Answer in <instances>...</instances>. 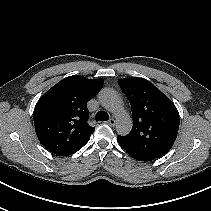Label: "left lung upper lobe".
Wrapping results in <instances>:
<instances>
[{"mask_svg": "<svg viewBox=\"0 0 211 211\" xmlns=\"http://www.w3.org/2000/svg\"><path fill=\"white\" fill-rule=\"evenodd\" d=\"M128 98L133 127L126 136H119L121 147L128 154L155 159L173 146L179 129V113L175 105L151 82L142 78L118 80Z\"/></svg>", "mask_w": 211, "mask_h": 211, "instance_id": "left-lung-upper-lobe-1", "label": "left lung upper lobe"}]
</instances>
